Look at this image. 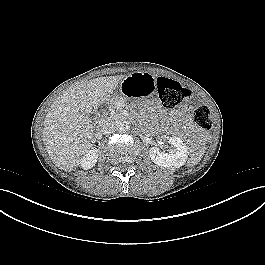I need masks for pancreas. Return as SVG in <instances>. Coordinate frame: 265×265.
I'll return each instance as SVG.
<instances>
[{
	"mask_svg": "<svg viewBox=\"0 0 265 265\" xmlns=\"http://www.w3.org/2000/svg\"><path fill=\"white\" fill-rule=\"evenodd\" d=\"M119 103L125 104V99L119 95L115 96L110 101L109 111L110 116L113 119H119L123 117L122 108Z\"/></svg>",
	"mask_w": 265,
	"mask_h": 265,
	"instance_id": "1",
	"label": "pancreas"
}]
</instances>
